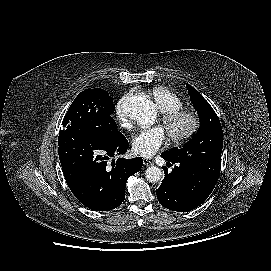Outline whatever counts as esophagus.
Instances as JSON below:
<instances>
[{
  "instance_id": "esophagus-1",
  "label": "esophagus",
  "mask_w": 271,
  "mask_h": 271,
  "mask_svg": "<svg viewBox=\"0 0 271 271\" xmlns=\"http://www.w3.org/2000/svg\"><path fill=\"white\" fill-rule=\"evenodd\" d=\"M143 164L148 167V166H152L153 162L147 158H143Z\"/></svg>"
}]
</instances>
